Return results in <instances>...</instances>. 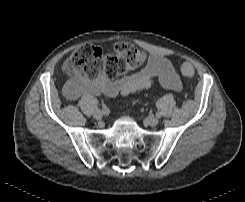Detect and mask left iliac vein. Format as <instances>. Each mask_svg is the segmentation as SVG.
I'll return each mask as SVG.
<instances>
[{
	"label": "left iliac vein",
	"instance_id": "obj_1",
	"mask_svg": "<svg viewBox=\"0 0 245 202\" xmlns=\"http://www.w3.org/2000/svg\"><path fill=\"white\" fill-rule=\"evenodd\" d=\"M159 122V119L157 117H148L145 119V123L150 126H155Z\"/></svg>",
	"mask_w": 245,
	"mask_h": 202
}]
</instances>
